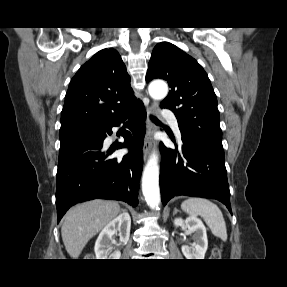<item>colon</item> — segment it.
<instances>
[{
	"instance_id": "5ec220e1",
	"label": "colon",
	"mask_w": 287,
	"mask_h": 287,
	"mask_svg": "<svg viewBox=\"0 0 287 287\" xmlns=\"http://www.w3.org/2000/svg\"><path fill=\"white\" fill-rule=\"evenodd\" d=\"M219 256H220L219 250H218V249H214V251H213V257H214V258H219Z\"/></svg>"
}]
</instances>
